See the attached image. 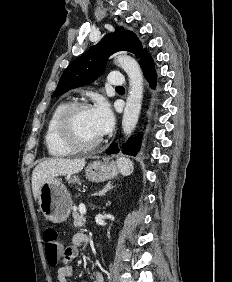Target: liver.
<instances>
[{"instance_id":"obj_1","label":"liver","mask_w":232,"mask_h":282,"mask_svg":"<svg viewBox=\"0 0 232 282\" xmlns=\"http://www.w3.org/2000/svg\"><path fill=\"white\" fill-rule=\"evenodd\" d=\"M86 162L81 159L51 158L40 162L32 173V191L35 200L39 197V191L46 181H51L60 175H72L80 172Z\"/></svg>"}]
</instances>
